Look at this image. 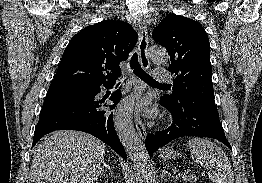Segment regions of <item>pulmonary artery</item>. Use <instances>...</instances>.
<instances>
[{
	"instance_id": "1",
	"label": "pulmonary artery",
	"mask_w": 262,
	"mask_h": 183,
	"mask_svg": "<svg viewBox=\"0 0 262 183\" xmlns=\"http://www.w3.org/2000/svg\"><path fill=\"white\" fill-rule=\"evenodd\" d=\"M155 79L158 82L169 83L171 81V79L168 76L160 74V70H155Z\"/></svg>"
}]
</instances>
